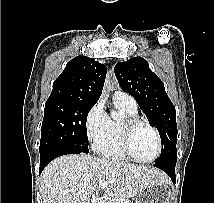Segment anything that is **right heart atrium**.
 Masks as SVG:
<instances>
[{
    "label": "right heart atrium",
    "instance_id": "1",
    "mask_svg": "<svg viewBox=\"0 0 214 203\" xmlns=\"http://www.w3.org/2000/svg\"><path fill=\"white\" fill-rule=\"evenodd\" d=\"M110 118L105 111L104 103L98 100L88 111L85 119V129L89 140L97 143L107 133Z\"/></svg>",
    "mask_w": 214,
    "mask_h": 203
}]
</instances>
